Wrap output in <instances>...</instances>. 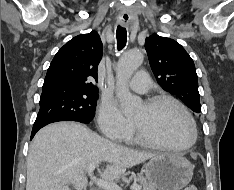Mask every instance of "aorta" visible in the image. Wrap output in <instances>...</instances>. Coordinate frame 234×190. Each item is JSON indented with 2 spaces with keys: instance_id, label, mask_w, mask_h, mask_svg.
<instances>
[{
  "instance_id": "aorta-1",
  "label": "aorta",
  "mask_w": 234,
  "mask_h": 190,
  "mask_svg": "<svg viewBox=\"0 0 234 190\" xmlns=\"http://www.w3.org/2000/svg\"><path fill=\"white\" fill-rule=\"evenodd\" d=\"M143 55L139 50L125 52L117 63L116 96L125 113H132L140 103L139 97L133 95L126 86V82L139 68Z\"/></svg>"
}]
</instances>
